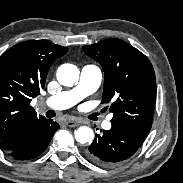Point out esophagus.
<instances>
[{"instance_id": "obj_1", "label": "esophagus", "mask_w": 183, "mask_h": 183, "mask_svg": "<svg viewBox=\"0 0 183 183\" xmlns=\"http://www.w3.org/2000/svg\"><path fill=\"white\" fill-rule=\"evenodd\" d=\"M80 123H83V121L82 120H76V119H68L67 121H65V124L69 127H75Z\"/></svg>"}]
</instances>
